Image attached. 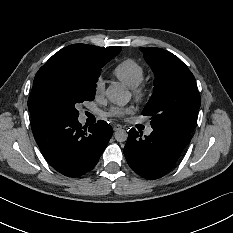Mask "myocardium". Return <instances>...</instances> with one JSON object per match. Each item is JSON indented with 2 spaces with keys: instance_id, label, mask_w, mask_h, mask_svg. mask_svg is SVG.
<instances>
[{
  "instance_id": "1",
  "label": "myocardium",
  "mask_w": 233,
  "mask_h": 233,
  "mask_svg": "<svg viewBox=\"0 0 233 233\" xmlns=\"http://www.w3.org/2000/svg\"><path fill=\"white\" fill-rule=\"evenodd\" d=\"M132 93L137 99L142 100L147 92L144 85H138L132 89Z\"/></svg>"
}]
</instances>
